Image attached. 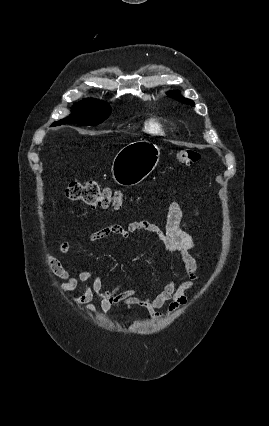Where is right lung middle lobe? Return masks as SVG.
Listing matches in <instances>:
<instances>
[{
  "instance_id": "obj_1",
  "label": "right lung middle lobe",
  "mask_w": 269,
  "mask_h": 426,
  "mask_svg": "<svg viewBox=\"0 0 269 426\" xmlns=\"http://www.w3.org/2000/svg\"><path fill=\"white\" fill-rule=\"evenodd\" d=\"M110 113L111 108L106 102L86 99L74 105L70 117L55 122L54 125L66 122L94 126L106 120Z\"/></svg>"
}]
</instances>
